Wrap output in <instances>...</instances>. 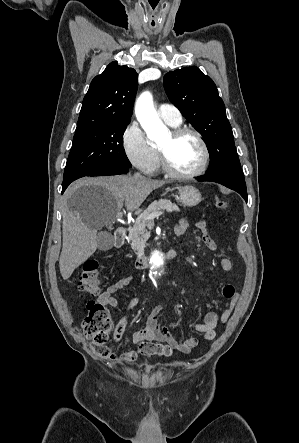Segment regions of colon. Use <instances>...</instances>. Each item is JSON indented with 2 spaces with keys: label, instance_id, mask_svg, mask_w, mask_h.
<instances>
[{
  "label": "colon",
  "instance_id": "1",
  "mask_svg": "<svg viewBox=\"0 0 299 443\" xmlns=\"http://www.w3.org/2000/svg\"><path fill=\"white\" fill-rule=\"evenodd\" d=\"M215 207L219 211H226L229 202L223 198H217ZM101 280L98 273V262L88 260L83 264L82 272L78 279L79 289L89 295H96L100 292ZM111 317L106 307L96 301L87 304V314L83 321V330L88 339L92 341L96 351L106 357L109 355L105 347L111 329Z\"/></svg>",
  "mask_w": 299,
  "mask_h": 443
}]
</instances>
